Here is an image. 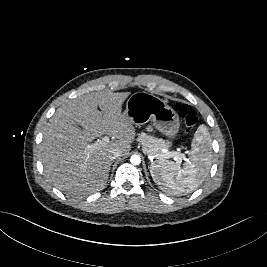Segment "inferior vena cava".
Returning a JSON list of instances; mask_svg holds the SVG:
<instances>
[{"label":"inferior vena cava","instance_id":"obj_1","mask_svg":"<svg viewBox=\"0 0 267 267\" xmlns=\"http://www.w3.org/2000/svg\"><path fill=\"white\" fill-rule=\"evenodd\" d=\"M122 156V152L119 149L113 148L109 151V159L115 160Z\"/></svg>","mask_w":267,"mask_h":267}]
</instances>
